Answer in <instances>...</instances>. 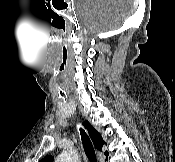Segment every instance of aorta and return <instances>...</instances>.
<instances>
[{"label": "aorta", "mask_w": 175, "mask_h": 162, "mask_svg": "<svg viewBox=\"0 0 175 162\" xmlns=\"http://www.w3.org/2000/svg\"><path fill=\"white\" fill-rule=\"evenodd\" d=\"M56 162H79L78 153L76 150L62 152Z\"/></svg>", "instance_id": "obj_1"}]
</instances>
